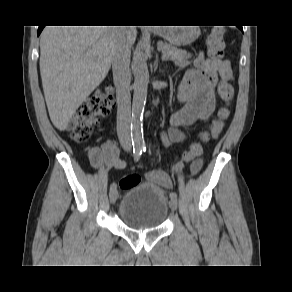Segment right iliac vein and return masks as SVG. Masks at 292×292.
<instances>
[{
    "instance_id": "63e3f726",
    "label": "right iliac vein",
    "mask_w": 292,
    "mask_h": 292,
    "mask_svg": "<svg viewBox=\"0 0 292 292\" xmlns=\"http://www.w3.org/2000/svg\"><path fill=\"white\" fill-rule=\"evenodd\" d=\"M109 197H110V202L112 204H114L116 202V200H117V197H118L117 190L115 189V190L110 191Z\"/></svg>"
}]
</instances>
